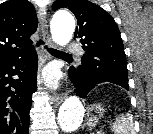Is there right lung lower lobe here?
Listing matches in <instances>:
<instances>
[{"label": "right lung lower lobe", "mask_w": 153, "mask_h": 134, "mask_svg": "<svg viewBox=\"0 0 153 134\" xmlns=\"http://www.w3.org/2000/svg\"><path fill=\"white\" fill-rule=\"evenodd\" d=\"M36 80L34 50L0 64V134H29V111Z\"/></svg>", "instance_id": "obj_1"}]
</instances>
